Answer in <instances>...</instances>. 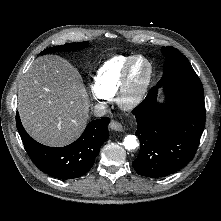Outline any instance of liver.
<instances>
[{
	"instance_id": "liver-1",
	"label": "liver",
	"mask_w": 221,
	"mask_h": 221,
	"mask_svg": "<svg viewBox=\"0 0 221 221\" xmlns=\"http://www.w3.org/2000/svg\"><path fill=\"white\" fill-rule=\"evenodd\" d=\"M87 90L77 69L59 56H44L28 69L18 91L22 124L36 141L53 147L75 141L89 119Z\"/></svg>"
}]
</instances>
